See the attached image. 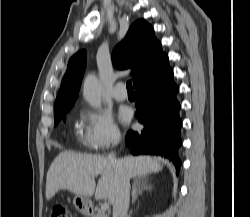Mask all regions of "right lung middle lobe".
Listing matches in <instances>:
<instances>
[{
    "mask_svg": "<svg viewBox=\"0 0 250 217\" xmlns=\"http://www.w3.org/2000/svg\"><path fill=\"white\" fill-rule=\"evenodd\" d=\"M66 112H61V113H58V114L54 115V117H55V126L59 123V121L61 119H65V113Z\"/></svg>",
    "mask_w": 250,
    "mask_h": 217,
    "instance_id": "obj_1",
    "label": "right lung middle lobe"
}]
</instances>
